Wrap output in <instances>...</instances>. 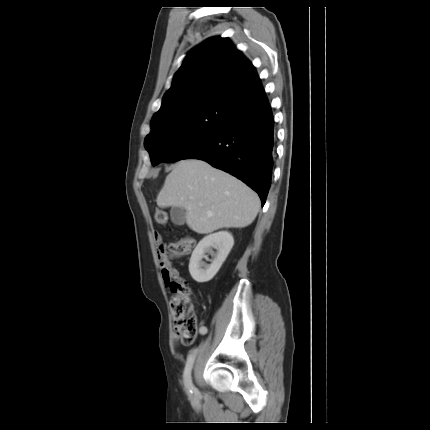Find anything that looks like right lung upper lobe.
<instances>
[{
  "label": "right lung upper lobe",
  "mask_w": 430,
  "mask_h": 430,
  "mask_svg": "<svg viewBox=\"0 0 430 430\" xmlns=\"http://www.w3.org/2000/svg\"><path fill=\"white\" fill-rule=\"evenodd\" d=\"M260 89L252 63L228 38L212 37L186 55L151 124L205 102H221L228 108L246 105Z\"/></svg>",
  "instance_id": "right-lung-upper-lobe-1"
}]
</instances>
